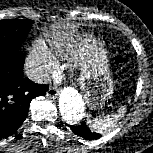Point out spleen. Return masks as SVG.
Segmentation results:
<instances>
[{
    "label": "spleen",
    "instance_id": "3e777b00",
    "mask_svg": "<svg viewBox=\"0 0 153 153\" xmlns=\"http://www.w3.org/2000/svg\"><path fill=\"white\" fill-rule=\"evenodd\" d=\"M130 100V98H128ZM126 113V106H120L115 114H108L106 116H100L99 118H91L90 115L87 116V124L90 129L98 133L104 132L106 129L110 128L116 124L120 118H122Z\"/></svg>",
    "mask_w": 153,
    "mask_h": 153
}]
</instances>
